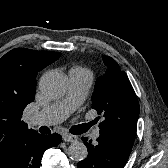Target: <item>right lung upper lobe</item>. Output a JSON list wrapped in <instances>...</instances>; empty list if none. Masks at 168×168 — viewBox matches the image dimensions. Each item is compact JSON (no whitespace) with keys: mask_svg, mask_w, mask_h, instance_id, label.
I'll use <instances>...</instances> for the list:
<instances>
[{"mask_svg":"<svg viewBox=\"0 0 168 168\" xmlns=\"http://www.w3.org/2000/svg\"><path fill=\"white\" fill-rule=\"evenodd\" d=\"M61 53L15 48L0 58V159L22 136L35 132L22 121L34 100L36 75Z\"/></svg>","mask_w":168,"mask_h":168,"instance_id":"cb5924a9","label":"right lung upper lobe"}]
</instances>
